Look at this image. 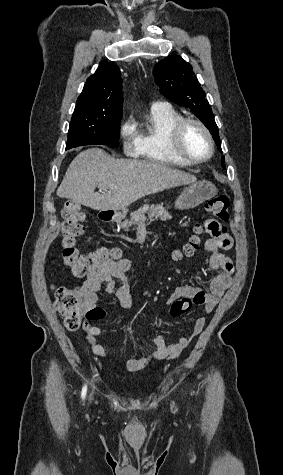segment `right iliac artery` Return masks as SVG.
<instances>
[{
    "label": "right iliac artery",
    "instance_id": "1",
    "mask_svg": "<svg viewBox=\"0 0 283 475\" xmlns=\"http://www.w3.org/2000/svg\"><path fill=\"white\" fill-rule=\"evenodd\" d=\"M86 390H87L86 386L83 387V389H82V397H83V398H84L85 395H86Z\"/></svg>",
    "mask_w": 283,
    "mask_h": 475
}]
</instances>
